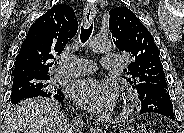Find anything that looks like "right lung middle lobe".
<instances>
[{
  "label": "right lung middle lobe",
  "instance_id": "obj_1",
  "mask_svg": "<svg viewBox=\"0 0 184 133\" xmlns=\"http://www.w3.org/2000/svg\"><path fill=\"white\" fill-rule=\"evenodd\" d=\"M49 75L21 74L14 76L12 81L11 103L33 97H50L61 91L49 85Z\"/></svg>",
  "mask_w": 184,
  "mask_h": 133
}]
</instances>
